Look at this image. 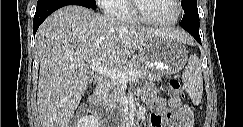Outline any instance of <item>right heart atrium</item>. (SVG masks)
<instances>
[{
  "label": "right heart atrium",
  "mask_w": 243,
  "mask_h": 127,
  "mask_svg": "<svg viewBox=\"0 0 243 127\" xmlns=\"http://www.w3.org/2000/svg\"><path fill=\"white\" fill-rule=\"evenodd\" d=\"M117 2V0H97L96 3L101 8L102 12L106 15H114L115 9H114V3Z\"/></svg>",
  "instance_id": "1"
}]
</instances>
